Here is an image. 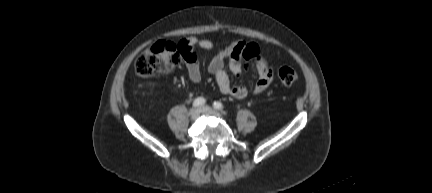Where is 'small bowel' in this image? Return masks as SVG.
Segmentation results:
<instances>
[{
    "label": "small bowel",
    "mask_w": 432,
    "mask_h": 193,
    "mask_svg": "<svg viewBox=\"0 0 432 193\" xmlns=\"http://www.w3.org/2000/svg\"><path fill=\"white\" fill-rule=\"evenodd\" d=\"M214 48L211 40L201 39L195 36L186 38L179 42L178 49L182 54L189 80L198 84L202 79L200 64L195 53L196 49L210 51ZM225 59L227 62L225 63ZM249 61L254 64L258 80L253 89L255 95L263 93L272 83L274 74L273 68L256 43L243 41L234 42L221 49L208 63V70L215 75L217 86L221 93L231 95L237 99L247 96L248 90L242 85H231L228 71L235 76H240L244 69L242 61Z\"/></svg>",
    "instance_id": "c3829d8e"
}]
</instances>
